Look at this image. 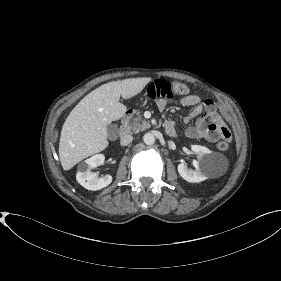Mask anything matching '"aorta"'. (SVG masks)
I'll return each mask as SVG.
<instances>
[{"label":"aorta","mask_w":281,"mask_h":281,"mask_svg":"<svg viewBox=\"0 0 281 281\" xmlns=\"http://www.w3.org/2000/svg\"><path fill=\"white\" fill-rule=\"evenodd\" d=\"M143 141L146 145H152L155 143V137L152 133H146L143 136Z\"/></svg>","instance_id":"762f6f07"}]
</instances>
